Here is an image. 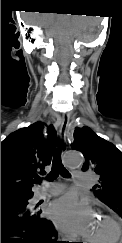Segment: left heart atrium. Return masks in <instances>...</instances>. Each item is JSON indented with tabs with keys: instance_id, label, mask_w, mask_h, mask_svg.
<instances>
[{
	"instance_id": "obj_1",
	"label": "left heart atrium",
	"mask_w": 122,
	"mask_h": 243,
	"mask_svg": "<svg viewBox=\"0 0 122 243\" xmlns=\"http://www.w3.org/2000/svg\"><path fill=\"white\" fill-rule=\"evenodd\" d=\"M48 213L62 230L72 235L88 236L94 220L90 205L71 194L54 201Z\"/></svg>"
}]
</instances>
